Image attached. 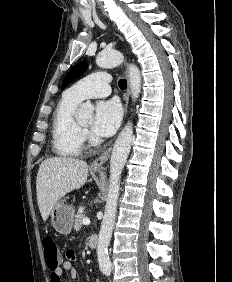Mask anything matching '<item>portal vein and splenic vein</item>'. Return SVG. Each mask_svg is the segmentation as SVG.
Returning a JSON list of instances; mask_svg holds the SVG:
<instances>
[{
  "mask_svg": "<svg viewBox=\"0 0 232 282\" xmlns=\"http://www.w3.org/2000/svg\"><path fill=\"white\" fill-rule=\"evenodd\" d=\"M82 223H83L84 225H89V224H90V219L87 218V217H84L83 220H82Z\"/></svg>",
  "mask_w": 232,
  "mask_h": 282,
  "instance_id": "18ae733b",
  "label": "portal vein and splenic vein"
}]
</instances>
